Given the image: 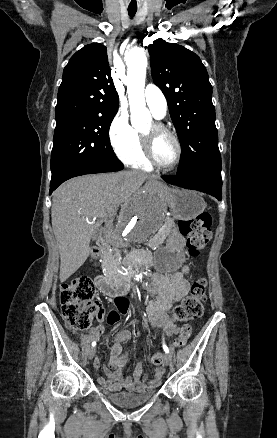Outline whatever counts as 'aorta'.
Instances as JSON below:
<instances>
[{
    "instance_id": "762f6f07",
    "label": "aorta",
    "mask_w": 277,
    "mask_h": 438,
    "mask_svg": "<svg viewBox=\"0 0 277 438\" xmlns=\"http://www.w3.org/2000/svg\"><path fill=\"white\" fill-rule=\"evenodd\" d=\"M127 91L131 111V124L140 128L151 121L146 108L144 87L147 58L144 50L134 48L126 58ZM165 217V201L161 194L147 189L138 194L123 212L111 242L116 248L128 252L144 243L158 230ZM141 276H137V280Z\"/></svg>"
}]
</instances>
